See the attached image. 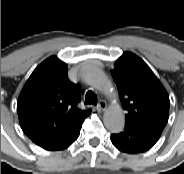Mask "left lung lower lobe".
Masks as SVG:
<instances>
[{"label": "left lung lower lobe", "mask_w": 184, "mask_h": 174, "mask_svg": "<svg viewBox=\"0 0 184 174\" xmlns=\"http://www.w3.org/2000/svg\"><path fill=\"white\" fill-rule=\"evenodd\" d=\"M159 136L125 127L119 134H113L111 141L116 148L126 153H141L149 150Z\"/></svg>", "instance_id": "left-lung-lower-lobe-1"}]
</instances>
